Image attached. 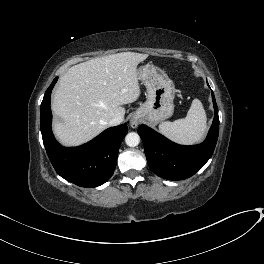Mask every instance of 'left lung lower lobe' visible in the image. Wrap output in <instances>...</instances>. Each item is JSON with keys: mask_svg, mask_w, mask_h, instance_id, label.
<instances>
[{"mask_svg": "<svg viewBox=\"0 0 264 264\" xmlns=\"http://www.w3.org/2000/svg\"><path fill=\"white\" fill-rule=\"evenodd\" d=\"M212 100L215 110L213 123L206 140L199 145H178L145 125L139 127L138 134L143 141L148 164L155 174L168 180H183L194 175L210 159L219 132L218 107L213 92Z\"/></svg>", "mask_w": 264, "mask_h": 264, "instance_id": "1", "label": "left lung lower lobe"}]
</instances>
